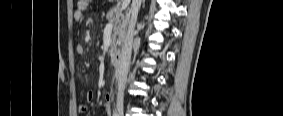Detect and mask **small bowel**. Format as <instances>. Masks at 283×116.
<instances>
[{
    "mask_svg": "<svg viewBox=\"0 0 283 116\" xmlns=\"http://www.w3.org/2000/svg\"><path fill=\"white\" fill-rule=\"evenodd\" d=\"M87 4H88V1H85V0H81V1H78V7L76 8V10L74 11L73 13V19L75 21H82L83 20V17H84V14H85V11H86V8H87ZM76 52L79 54V55H83L84 54V48L82 45H77L76 46ZM95 99V93L94 92H88L86 94V101L88 103H91L93 102V100ZM111 96L107 95L106 96V102L103 104V115L105 116H111L112 115V111H111ZM87 110V106L86 105H82L80 107V112L81 113H84L85 111Z\"/></svg>",
    "mask_w": 283,
    "mask_h": 116,
    "instance_id": "small-bowel-1",
    "label": "small bowel"
}]
</instances>
